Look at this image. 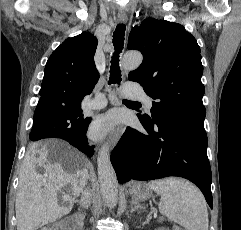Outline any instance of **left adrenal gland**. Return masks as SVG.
I'll return each instance as SVG.
<instances>
[{"label":"left adrenal gland","instance_id":"left-adrenal-gland-1","mask_svg":"<svg viewBox=\"0 0 241 230\" xmlns=\"http://www.w3.org/2000/svg\"><path fill=\"white\" fill-rule=\"evenodd\" d=\"M132 205L134 207L131 209V213L141 207L140 204L138 202H136V201H132Z\"/></svg>","mask_w":241,"mask_h":230}]
</instances>
